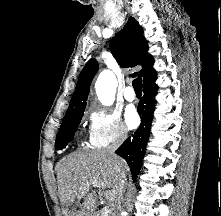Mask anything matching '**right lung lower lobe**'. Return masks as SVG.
<instances>
[{
  "label": "right lung lower lobe",
  "instance_id": "1",
  "mask_svg": "<svg viewBox=\"0 0 221 216\" xmlns=\"http://www.w3.org/2000/svg\"><path fill=\"white\" fill-rule=\"evenodd\" d=\"M155 80L156 75L143 82L144 95L138 104V113L141 117L140 127L115 151L117 155L124 158L128 163L133 180L137 178L140 172L146 144L150 135V127L156 103L154 97L158 90Z\"/></svg>",
  "mask_w": 221,
  "mask_h": 216
}]
</instances>
